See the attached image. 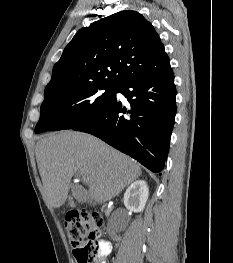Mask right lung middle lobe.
<instances>
[{
    "instance_id": "dd1d6c3e",
    "label": "right lung middle lobe",
    "mask_w": 233,
    "mask_h": 263,
    "mask_svg": "<svg viewBox=\"0 0 233 263\" xmlns=\"http://www.w3.org/2000/svg\"><path fill=\"white\" fill-rule=\"evenodd\" d=\"M117 87L90 85L46 97L35 133L70 129L93 117L115 97Z\"/></svg>"
}]
</instances>
